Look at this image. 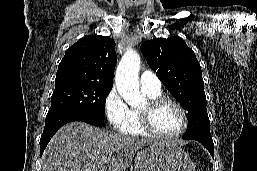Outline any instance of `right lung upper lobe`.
<instances>
[{"mask_svg":"<svg viewBox=\"0 0 257 171\" xmlns=\"http://www.w3.org/2000/svg\"><path fill=\"white\" fill-rule=\"evenodd\" d=\"M115 42L105 36H85L69 47L61 60L55 88L86 83L113 86Z\"/></svg>","mask_w":257,"mask_h":171,"instance_id":"1","label":"right lung upper lobe"}]
</instances>
